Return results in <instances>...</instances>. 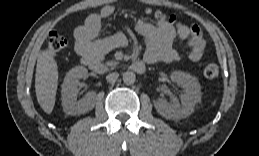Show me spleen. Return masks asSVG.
<instances>
[{"label":"spleen","instance_id":"spleen-1","mask_svg":"<svg viewBox=\"0 0 259 156\" xmlns=\"http://www.w3.org/2000/svg\"><path fill=\"white\" fill-rule=\"evenodd\" d=\"M215 104H216V101H214L212 105L214 106Z\"/></svg>","mask_w":259,"mask_h":156}]
</instances>
